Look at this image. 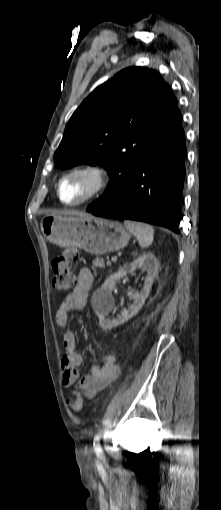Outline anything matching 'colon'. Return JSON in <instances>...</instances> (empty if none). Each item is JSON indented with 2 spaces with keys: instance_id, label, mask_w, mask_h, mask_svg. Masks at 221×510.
<instances>
[{
  "instance_id": "obj_1",
  "label": "colon",
  "mask_w": 221,
  "mask_h": 510,
  "mask_svg": "<svg viewBox=\"0 0 221 510\" xmlns=\"http://www.w3.org/2000/svg\"><path fill=\"white\" fill-rule=\"evenodd\" d=\"M76 258L77 251L73 248L65 249L54 258L52 262L53 286L57 291L65 292L73 286L72 266ZM70 405L74 411L79 412L84 406V398L81 395H77Z\"/></svg>"
}]
</instances>
